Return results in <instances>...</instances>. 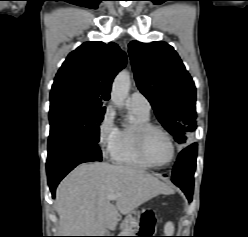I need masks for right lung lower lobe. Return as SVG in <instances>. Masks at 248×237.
<instances>
[{
    "instance_id": "right-lung-lower-lobe-1",
    "label": "right lung lower lobe",
    "mask_w": 248,
    "mask_h": 237,
    "mask_svg": "<svg viewBox=\"0 0 248 237\" xmlns=\"http://www.w3.org/2000/svg\"><path fill=\"white\" fill-rule=\"evenodd\" d=\"M101 160L102 153L96 143L64 137L49 138L47 177L52 196L58 183L78 164Z\"/></svg>"
}]
</instances>
